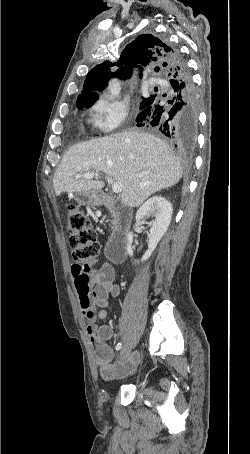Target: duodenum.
I'll return each mask as SVG.
<instances>
[{
  "mask_svg": "<svg viewBox=\"0 0 250 454\" xmlns=\"http://www.w3.org/2000/svg\"><path fill=\"white\" fill-rule=\"evenodd\" d=\"M98 203L112 209L114 225L107 245V256L113 263L120 264L126 257L127 231L132 213L125 206H113V199L104 194L100 195Z\"/></svg>",
  "mask_w": 250,
  "mask_h": 454,
  "instance_id": "1",
  "label": "duodenum"
}]
</instances>
